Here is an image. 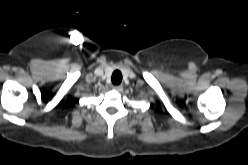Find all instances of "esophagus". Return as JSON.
<instances>
[{
    "label": "esophagus",
    "instance_id": "34e87169",
    "mask_svg": "<svg viewBox=\"0 0 248 165\" xmlns=\"http://www.w3.org/2000/svg\"><path fill=\"white\" fill-rule=\"evenodd\" d=\"M113 89L116 90L117 92H122L123 86L122 85H117V86H114Z\"/></svg>",
    "mask_w": 248,
    "mask_h": 165
}]
</instances>
